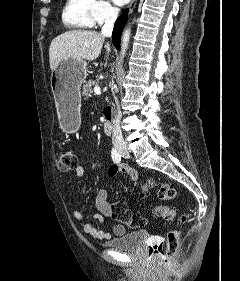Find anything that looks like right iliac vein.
I'll use <instances>...</instances> for the list:
<instances>
[{"label": "right iliac vein", "mask_w": 240, "mask_h": 281, "mask_svg": "<svg viewBox=\"0 0 240 281\" xmlns=\"http://www.w3.org/2000/svg\"><path fill=\"white\" fill-rule=\"evenodd\" d=\"M117 150L119 151L120 154H128V150L126 147H117Z\"/></svg>", "instance_id": "1"}]
</instances>
